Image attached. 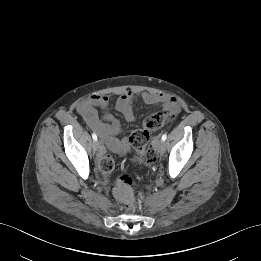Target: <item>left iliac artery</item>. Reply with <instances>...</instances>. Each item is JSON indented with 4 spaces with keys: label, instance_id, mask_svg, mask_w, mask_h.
I'll use <instances>...</instances> for the list:
<instances>
[{
    "label": "left iliac artery",
    "instance_id": "obj_1",
    "mask_svg": "<svg viewBox=\"0 0 261 261\" xmlns=\"http://www.w3.org/2000/svg\"><path fill=\"white\" fill-rule=\"evenodd\" d=\"M167 139V134H163L161 140L165 141Z\"/></svg>",
    "mask_w": 261,
    "mask_h": 261
}]
</instances>
